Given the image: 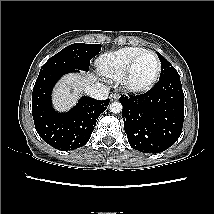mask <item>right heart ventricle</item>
I'll list each match as a JSON object with an SVG mask.
<instances>
[{"label":"right heart ventricle","instance_id":"right-heart-ventricle-1","mask_svg":"<svg viewBox=\"0 0 214 214\" xmlns=\"http://www.w3.org/2000/svg\"><path fill=\"white\" fill-rule=\"evenodd\" d=\"M144 50L141 47H126L105 53L97 60L98 71L107 80L118 81L122 78L130 62Z\"/></svg>","mask_w":214,"mask_h":214}]
</instances>
